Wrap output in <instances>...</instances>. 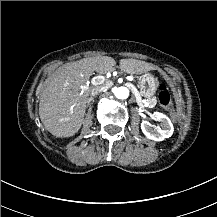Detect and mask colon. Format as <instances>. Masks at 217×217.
Returning a JSON list of instances; mask_svg holds the SVG:
<instances>
[{"label": "colon", "instance_id": "5ec220e1", "mask_svg": "<svg viewBox=\"0 0 217 217\" xmlns=\"http://www.w3.org/2000/svg\"><path fill=\"white\" fill-rule=\"evenodd\" d=\"M158 100L161 107L170 109L172 106L171 95L165 83H160L158 86Z\"/></svg>", "mask_w": 217, "mask_h": 217}]
</instances>
